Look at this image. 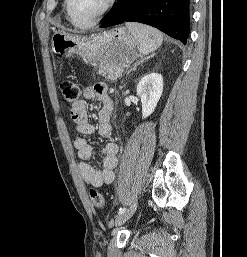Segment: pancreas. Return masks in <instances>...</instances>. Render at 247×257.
Masks as SVG:
<instances>
[{
	"label": "pancreas",
	"instance_id": "cf45deb5",
	"mask_svg": "<svg viewBox=\"0 0 247 257\" xmlns=\"http://www.w3.org/2000/svg\"><path fill=\"white\" fill-rule=\"evenodd\" d=\"M123 66L117 63H106L98 69V74L106 79L116 80L123 73Z\"/></svg>",
	"mask_w": 247,
	"mask_h": 257
}]
</instances>
